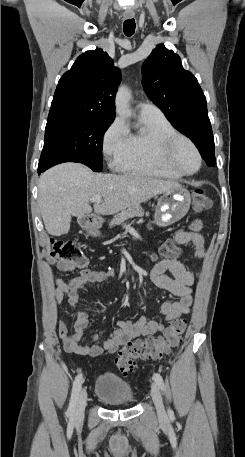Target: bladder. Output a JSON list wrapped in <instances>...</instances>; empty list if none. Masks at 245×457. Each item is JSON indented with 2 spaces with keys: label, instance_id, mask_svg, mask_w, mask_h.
I'll use <instances>...</instances> for the list:
<instances>
[{
  "label": "bladder",
  "instance_id": "1",
  "mask_svg": "<svg viewBox=\"0 0 245 457\" xmlns=\"http://www.w3.org/2000/svg\"><path fill=\"white\" fill-rule=\"evenodd\" d=\"M96 397L108 406H130L134 402L131 385L108 373L100 375Z\"/></svg>",
  "mask_w": 245,
  "mask_h": 457
}]
</instances>
